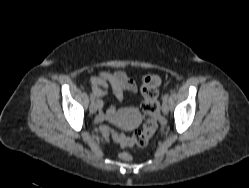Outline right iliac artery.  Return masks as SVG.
<instances>
[{
    "mask_svg": "<svg viewBox=\"0 0 249 188\" xmlns=\"http://www.w3.org/2000/svg\"><path fill=\"white\" fill-rule=\"evenodd\" d=\"M90 98H91V100H94V99H95V96H94L93 93H90Z\"/></svg>",
    "mask_w": 249,
    "mask_h": 188,
    "instance_id": "82829eb1",
    "label": "right iliac artery"
}]
</instances>
